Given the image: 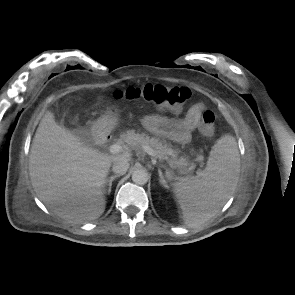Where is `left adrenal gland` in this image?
Masks as SVG:
<instances>
[{"label": "left adrenal gland", "mask_w": 295, "mask_h": 295, "mask_svg": "<svg viewBox=\"0 0 295 295\" xmlns=\"http://www.w3.org/2000/svg\"><path fill=\"white\" fill-rule=\"evenodd\" d=\"M158 173H159V182H160V184H162L163 187L168 188V185H167V183H166L160 169L158 170Z\"/></svg>", "instance_id": "obj_1"}]
</instances>
